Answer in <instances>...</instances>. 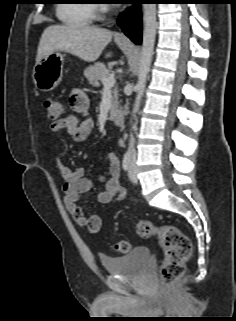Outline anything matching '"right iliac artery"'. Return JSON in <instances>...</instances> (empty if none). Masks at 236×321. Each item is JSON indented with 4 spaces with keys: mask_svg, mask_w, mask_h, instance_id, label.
Masks as SVG:
<instances>
[{
    "mask_svg": "<svg viewBox=\"0 0 236 321\" xmlns=\"http://www.w3.org/2000/svg\"><path fill=\"white\" fill-rule=\"evenodd\" d=\"M122 167L124 171H128L130 167V154L126 153L123 157Z\"/></svg>",
    "mask_w": 236,
    "mask_h": 321,
    "instance_id": "right-iliac-artery-1",
    "label": "right iliac artery"
}]
</instances>
